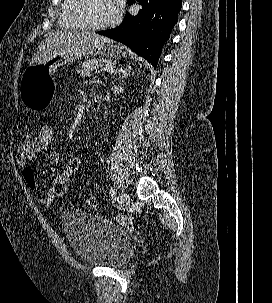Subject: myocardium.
Returning <instances> with one entry per match:
<instances>
[{"label":"myocardium","mask_w":272,"mask_h":303,"mask_svg":"<svg viewBox=\"0 0 272 303\" xmlns=\"http://www.w3.org/2000/svg\"><path fill=\"white\" fill-rule=\"evenodd\" d=\"M87 0H74L72 6L73 17L84 27L90 30H103L112 27L116 23V17L102 24H94L88 20L85 14Z\"/></svg>","instance_id":"1"}]
</instances>
